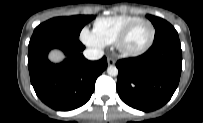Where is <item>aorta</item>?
<instances>
[{"label":"aorta","instance_id":"762f6f07","mask_svg":"<svg viewBox=\"0 0 203 123\" xmlns=\"http://www.w3.org/2000/svg\"><path fill=\"white\" fill-rule=\"evenodd\" d=\"M107 73L110 76H117L118 75V69L116 66L111 65L107 68Z\"/></svg>","mask_w":203,"mask_h":123}]
</instances>
